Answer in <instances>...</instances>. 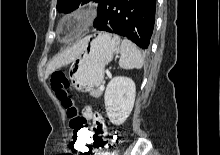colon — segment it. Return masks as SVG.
Returning a JSON list of instances; mask_svg holds the SVG:
<instances>
[{"label":"colon","instance_id":"1","mask_svg":"<svg viewBox=\"0 0 220 155\" xmlns=\"http://www.w3.org/2000/svg\"><path fill=\"white\" fill-rule=\"evenodd\" d=\"M51 88L66 111L68 126L73 131L72 146L73 155H86L90 144L93 145V151L88 154L94 155H115L114 149L120 142V134L112 133L111 137H106V126L98 124L96 127L95 137L90 123L84 119L77 107L74 98L70 95V83L66 74L62 71H55L50 77ZM99 153V154H98Z\"/></svg>","mask_w":220,"mask_h":155}]
</instances>
